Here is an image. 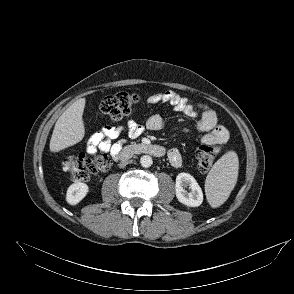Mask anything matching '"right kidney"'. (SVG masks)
<instances>
[{
  "label": "right kidney",
  "mask_w": 294,
  "mask_h": 294,
  "mask_svg": "<svg viewBox=\"0 0 294 294\" xmlns=\"http://www.w3.org/2000/svg\"><path fill=\"white\" fill-rule=\"evenodd\" d=\"M89 187L82 182H76L70 185L66 193V201L70 205L78 204L88 193Z\"/></svg>",
  "instance_id": "right-kidney-1"
}]
</instances>
